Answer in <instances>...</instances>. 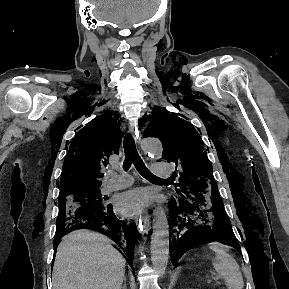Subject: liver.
Returning <instances> with one entry per match:
<instances>
[{
  "label": "liver",
  "mask_w": 289,
  "mask_h": 289,
  "mask_svg": "<svg viewBox=\"0 0 289 289\" xmlns=\"http://www.w3.org/2000/svg\"><path fill=\"white\" fill-rule=\"evenodd\" d=\"M125 259L102 234L76 230L60 242L53 289H121Z\"/></svg>",
  "instance_id": "1"
}]
</instances>
